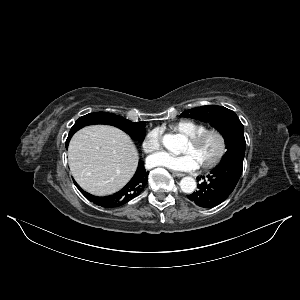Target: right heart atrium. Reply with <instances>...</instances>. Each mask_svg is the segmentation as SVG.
<instances>
[{
    "instance_id": "obj_1",
    "label": "right heart atrium",
    "mask_w": 300,
    "mask_h": 300,
    "mask_svg": "<svg viewBox=\"0 0 300 300\" xmlns=\"http://www.w3.org/2000/svg\"><path fill=\"white\" fill-rule=\"evenodd\" d=\"M161 148V131L159 128L149 130L142 140V149L147 154H153Z\"/></svg>"
}]
</instances>
